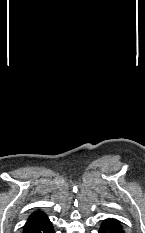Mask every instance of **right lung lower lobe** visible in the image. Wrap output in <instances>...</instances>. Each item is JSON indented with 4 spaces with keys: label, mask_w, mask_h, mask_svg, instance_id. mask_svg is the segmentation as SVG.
<instances>
[{
    "label": "right lung lower lobe",
    "mask_w": 145,
    "mask_h": 233,
    "mask_svg": "<svg viewBox=\"0 0 145 233\" xmlns=\"http://www.w3.org/2000/svg\"><path fill=\"white\" fill-rule=\"evenodd\" d=\"M24 233H54V229L48 217H45L26 228Z\"/></svg>",
    "instance_id": "1"
}]
</instances>
